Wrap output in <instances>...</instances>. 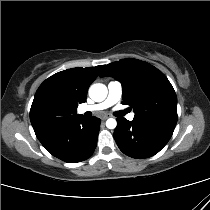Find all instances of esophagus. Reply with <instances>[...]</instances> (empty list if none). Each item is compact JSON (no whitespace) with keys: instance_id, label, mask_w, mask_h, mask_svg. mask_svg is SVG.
I'll list each match as a JSON object with an SVG mask.
<instances>
[{"instance_id":"34e87169","label":"esophagus","mask_w":210,"mask_h":210,"mask_svg":"<svg viewBox=\"0 0 210 210\" xmlns=\"http://www.w3.org/2000/svg\"><path fill=\"white\" fill-rule=\"evenodd\" d=\"M101 119H102V120L108 119V115H103V116H101Z\"/></svg>"}]
</instances>
